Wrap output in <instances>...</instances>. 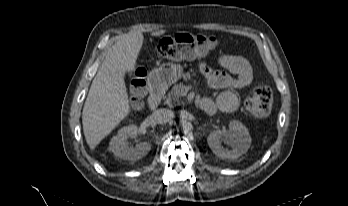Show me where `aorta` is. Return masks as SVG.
Returning <instances> with one entry per match:
<instances>
[{
  "label": "aorta",
  "mask_w": 348,
  "mask_h": 206,
  "mask_svg": "<svg viewBox=\"0 0 348 206\" xmlns=\"http://www.w3.org/2000/svg\"><path fill=\"white\" fill-rule=\"evenodd\" d=\"M179 125L185 133L189 132L191 130V127H192L191 123L187 120H181Z\"/></svg>",
  "instance_id": "aorta-1"
}]
</instances>
